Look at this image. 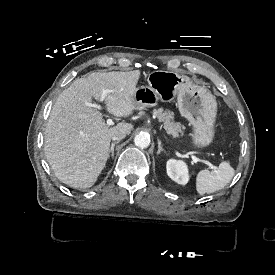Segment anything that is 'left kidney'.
I'll list each match as a JSON object with an SVG mask.
<instances>
[{"label":"left kidney","instance_id":"1","mask_svg":"<svg viewBox=\"0 0 275 275\" xmlns=\"http://www.w3.org/2000/svg\"><path fill=\"white\" fill-rule=\"evenodd\" d=\"M167 175L176 183L186 185L189 181L188 166L182 160L169 159L166 163Z\"/></svg>","mask_w":275,"mask_h":275}]
</instances>
